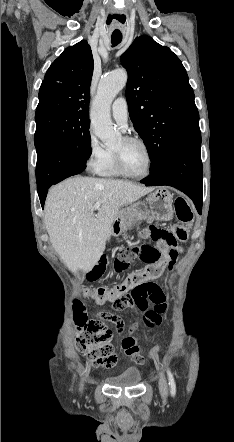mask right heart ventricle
<instances>
[{
	"label": "right heart ventricle",
	"mask_w": 234,
	"mask_h": 442,
	"mask_svg": "<svg viewBox=\"0 0 234 442\" xmlns=\"http://www.w3.org/2000/svg\"><path fill=\"white\" fill-rule=\"evenodd\" d=\"M98 174L104 177H117L120 173L117 171L114 162L113 150L107 149V155Z\"/></svg>",
	"instance_id": "right-heart-ventricle-1"
}]
</instances>
